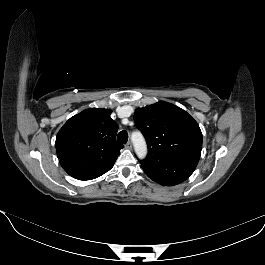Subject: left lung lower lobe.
I'll use <instances>...</instances> for the list:
<instances>
[{"label": "left lung lower lobe", "mask_w": 265, "mask_h": 265, "mask_svg": "<svg viewBox=\"0 0 265 265\" xmlns=\"http://www.w3.org/2000/svg\"><path fill=\"white\" fill-rule=\"evenodd\" d=\"M198 161L199 158L193 157L169 163L141 165L147 176L155 182L165 186H173L188 179L194 172Z\"/></svg>", "instance_id": "left-lung-lower-lobe-1"}]
</instances>
